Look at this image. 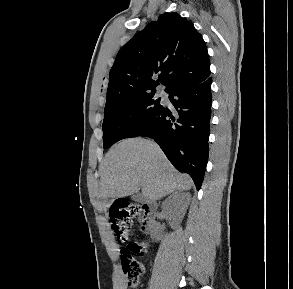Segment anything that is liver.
<instances>
[{
  "label": "liver",
  "instance_id": "1",
  "mask_svg": "<svg viewBox=\"0 0 293 289\" xmlns=\"http://www.w3.org/2000/svg\"><path fill=\"white\" fill-rule=\"evenodd\" d=\"M191 187V178L177 172L155 142L143 138L115 144L101 166L100 197L103 199L123 198L141 188L143 201L153 202Z\"/></svg>",
  "mask_w": 293,
  "mask_h": 289
}]
</instances>
